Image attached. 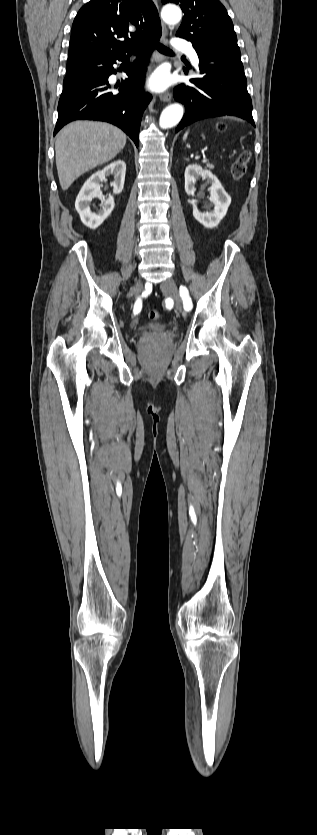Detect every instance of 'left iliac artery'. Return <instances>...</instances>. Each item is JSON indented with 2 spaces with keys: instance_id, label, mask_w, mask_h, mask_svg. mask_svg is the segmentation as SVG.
Instances as JSON below:
<instances>
[{
  "instance_id": "1",
  "label": "left iliac artery",
  "mask_w": 317,
  "mask_h": 835,
  "mask_svg": "<svg viewBox=\"0 0 317 835\" xmlns=\"http://www.w3.org/2000/svg\"><path fill=\"white\" fill-rule=\"evenodd\" d=\"M180 295L182 296L183 301H184V309L186 311L191 310L192 309V301H191V298L189 297L188 289L185 286H182V285L180 286Z\"/></svg>"
}]
</instances>
